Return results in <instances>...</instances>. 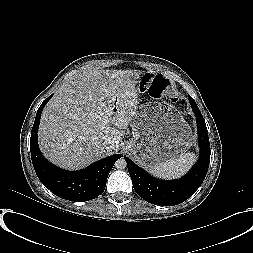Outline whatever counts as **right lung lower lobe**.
<instances>
[{
	"label": "right lung lower lobe",
	"mask_w": 253,
	"mask_h": 253,
	"mask_svg": "<svg viewBox=\"0 0 253 253\" xmlns=\"http://www.w3.org/2000/svg\"><path fill=\"white\" fill-rule=\"evenodd\" d=\"M51 97L39 107L31 131L30 151L35 172L41 183L58 197L77 202L92 200L103 193L109 172L121 155L106 157L80 171H67L51 164L41 154L37 142L41 113Z\"/></svg>",
	"instance_id": "obj_1"
}]
</instances>
